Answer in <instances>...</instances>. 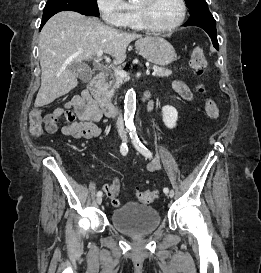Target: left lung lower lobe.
I'll use <instances>...</instances> for the list:
<instances>
[{
    "label": "left lung lower lobe",
    "instance_id": "0a47b994",
    "mask_svg": "<svg viewBox=\"0 0 261 273\" xmlns=\"http://www.w3.org/2000/svg\"><path fill=\"white\" fill-rule=\"evenodd\" d=\"M184 26L201 27L208 33V35L212 39V43L214 47L217 50L219 49V45L217 41L216 22L208 8L201 9L191 14V17L184 24Z\"/></svg>",
    "mask_w": 261,
    "mask_h": 273
}]
</instances>
